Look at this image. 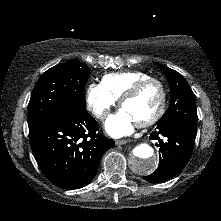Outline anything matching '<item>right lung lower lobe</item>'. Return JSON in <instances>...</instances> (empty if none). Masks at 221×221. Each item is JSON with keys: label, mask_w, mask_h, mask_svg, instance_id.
Segmentation results:
<instances>
[{"label": "right lung lower lobe", "mask_w": 221, "mask_h": 221, "mask_svg": "<svg viewBox=\"0 0 221 221\" xmlns=\"http://www.w3.org/2000/svg\"><path fill=\"white\" fill-rule=\"evenodd\" d=\"M85 108L29 129L33 155L44 175L63 189H78L95 177L104 152L115 146L98 133Z\"/></svg>", "instance_id": "1"}]
</instances>
